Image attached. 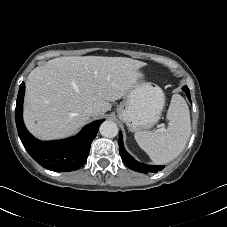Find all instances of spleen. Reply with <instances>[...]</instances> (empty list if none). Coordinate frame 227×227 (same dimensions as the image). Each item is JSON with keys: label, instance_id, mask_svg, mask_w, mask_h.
I'll return each mask as SVG.
<instances>
[{"label": "spleen", "instance_id": "3e777b00", "mask_svg": "<svg viewBox=\"0 0 227 227\" xmlns=\"http://www.w3.org/2000/svg\"><path fill=\"white\" fill-rule=\"evenodd\" d=\"M169 121L163 131H137L134 134L138 145L157 164L175 159L184 149L191 132L190 113L185 100L174 94L167 111Z\"/></svg>", "mask_w": 227, "mask_h": 227}]
</instances>
